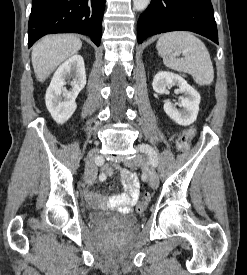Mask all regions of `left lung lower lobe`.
Masks as SVG:
<instances>
[{"label":"left lung lower lobe","instance_id":"0a47b994","mask_svg":"<svg viewBox=\"0 0 247 275\" xmlns=\"http://www.w3.org/2000/svg\"><path fill=\"white\" fill-rule=\"evenodd\" d=\"M176 30L192 31L218 43L210 0H152L137 23V41Z\"/></svg>","mask_w":247,"mask_h":275}]
</instances>
